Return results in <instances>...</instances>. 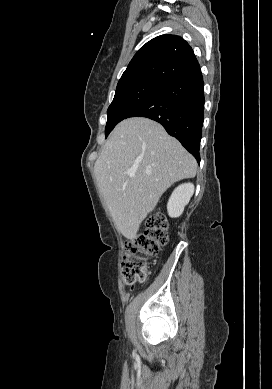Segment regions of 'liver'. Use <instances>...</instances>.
Returning <instances> with one entry per match:
<instances>
[{
  "label": "liver",
  "mask_w": 272,
  "mask_h": 389,
  "mask_svg": "<svg viewBox=\"0 0 272 389\" xmlns=\"http://www.w3.org/2000/svg\"><path fill=\"white\" fill-rule=\"evenodd\" d=\"M94 172L117 230L133 240L162 194L175 182L195 177L197 162L159 123L133 117L114 128Z\"/></svg>",
  "instance_id": "obj_1"
}]
</instances>
